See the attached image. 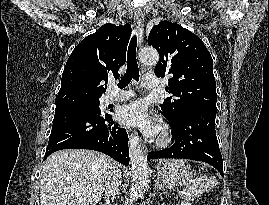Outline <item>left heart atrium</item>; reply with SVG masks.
<instances>
[{
	"label": "left heart atrium",
	"instance_id": "1",
	"mask_svg": "<svg viewBox=\"0 0 269 205\" xmlns=\"http://www.w3.org/2000/svg\"><path fill=\"white\" fill-rule=\"evenodd\" d=\"M120 123L127 127H138L147 135H155L158 127L149 116L148 107L143 101H134L124 105L118 113Z\"/></svg>",
	"mask_w": 269,
	"mask_h": 205
}]
</instances>
